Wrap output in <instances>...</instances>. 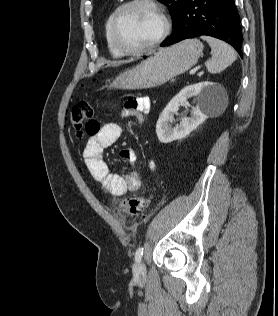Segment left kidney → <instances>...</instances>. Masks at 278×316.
I'll list each match as a JSON object with an SVG mask.
<instances>
[{"label":"left kidney","mask_w":278,"mask_h":316,"mask_svg":"<svg viewBox=\"0 0 278 316\" xmlns=\"http://www.w3.org/2000/svg\"><path fill=\"white\" fill-rule=\"evenodd\" d=\"M225 96L223 86L218 83L205 81L183 88L165 107L156 124V133L162 143H170L182 139L203 123L220 105ZM196 97L197 106L192 108L189 118L182 119L180 125L171 127L174 114L179 106L187 104V99Z\"/></svg>","instance_id":"1"}]
</instances>
